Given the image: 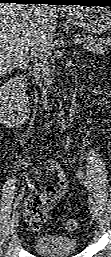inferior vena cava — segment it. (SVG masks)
I'll return each instance as SVG.
<instances>
[{
	"label": "inferior vena cava",
	"mask_w": 111,
	"mask_h": 257,
	"mask_svg": "<svg viewBox=\"0 0 111 257\" xmlns=\"http://www.w3.org/2000/svg\"><path fill=\"white\" fill-rule=\"evenodd\" d=\"M48 56L46 44L43 40H38L31 49L30 58L34 62L33 75L38 80L41 91V103L44 109H48V90L46 84V76L48 66L46 58Z\"/></svg>",
	"instance_id": "602c4592"
}]
</instances>
